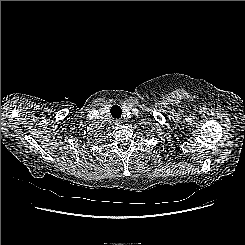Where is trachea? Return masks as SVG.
<instances>
[{"mask_svg":"<svg viewBox=\"0 0 245 245\" xmlns=\"http://www.w3.org/2000/svg\"><path fill=\"white\" fill-rule=\"evenodd\" d=\"M113 118H120L122 114V109L118 105H113L110 109Z\"/></svg>","mask_w":245,"mask_h":245,"instance_id":"1","label":"trachea"}]
</instances>
